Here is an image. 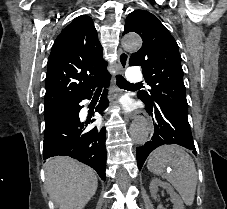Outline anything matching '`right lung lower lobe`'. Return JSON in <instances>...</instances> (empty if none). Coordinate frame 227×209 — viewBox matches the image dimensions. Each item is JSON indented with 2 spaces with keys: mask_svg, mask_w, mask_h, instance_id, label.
<instances>
[{
  "mask_svg": "<svg viewBox=\"0 0 227 209\" xmlns=\"http://www.w3.org/2000/svg\"><path fill=\"white\" fill-rule=\"evenodd\" d=\"M110 75L99 80L86 94L70 101L66 110L58 116L52 124L45 127L43 158L53 156H70L97 171L102 180L106 179V147L105 128L93 127L86 129L88 122H81L79 103L90 99L95 87L108 84ZM108 106L106 98L102 97L95 111L102 113ZM95 120H92L93 122Z\"/></svg>",
  "mask_w": 227,
  "mask_h": 209,
  "instance_id": "1",
  "label": "right lung lower lobe"
}]
</instances>
